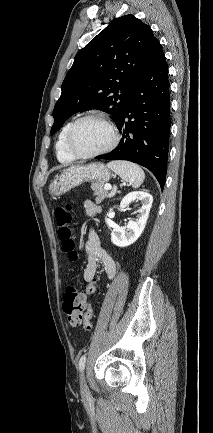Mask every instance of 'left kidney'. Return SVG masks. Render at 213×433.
<instances>
[{"label":"left kidney","mask_w":213,"mask_h":433,"mask_svg":"<svg viewBox=\"0 0 213 433\" xmlns=\"http://www.w3.org/2000/svg\"><path fill=\"white\" fill-rule=\"evenodd\" d=\"M141 201V208L135 221L130 220L123 228H114L111 232V242L118 247H126L133 244L142 234L149 212L152 207V196L144 191H134L128 193L121 201V209H128V205L133 201Z\"/></svg>","instance_id":"left-kidney-1"}]
</instances>
